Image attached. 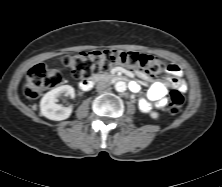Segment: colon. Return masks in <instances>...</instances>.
<instances>
[{"mask_svg":"<svg viewBox=\"0 0 222 187\" xmlns=\"http://www.w3.org/2000/svg\"><path fill=\"white\" fill-rule=\"evenodd\" d=\"M63 64L70 68L75 78L87 81L92 76L109 71L113 66L122 65L139 69L149 76L158 75L167 70V64L150 54L134 51L95 50L83 52L74 56H64ZM62 77L59 71L43 64L33 66L28 72L24 93L28 98L34 99L45 90L61 84ZM185 103L183 93L174 89L169 95V112L178 114Z\"/></svg>","mask_w":222,"mask_h":187,"instance_id":"1","label":"colon"}]
</instances>
